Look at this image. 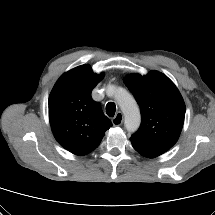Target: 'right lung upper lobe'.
<instances>
[{
    "instance_id": "cb5924a9",
    "label": "right lung upper lobe",
    "mask_w": 215,
    "mask_h": 215,
    "mask_svg": "<svg viewBox=\"0 0 215 215\" xmlns=\"http://www.w3.org/2000/svg\"><path fill=\"white\" fill-rule=\"evenodd\" d=\"M104 73H93L89 65L63 74L49 96V119L58 143L71 153L83 156L100 144L112 123L91 97Z\"/></svg>"
}]
</instances>
